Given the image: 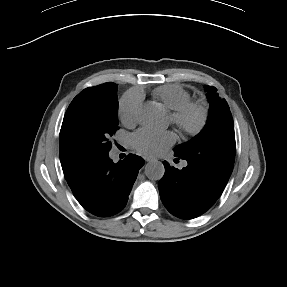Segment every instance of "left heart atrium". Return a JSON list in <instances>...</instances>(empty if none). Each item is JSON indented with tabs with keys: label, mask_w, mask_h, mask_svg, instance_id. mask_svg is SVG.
<instances>
[{
	"label": "left heart atrium",
	"mask_w": 287,
	"mask_h": 287,
	"mask_svg": "<svg viewBox=\"0 0 287 287\" xmlns=\"http://www.w3.org/2000/svg\"><path fill=\"white\" fill-rule=\"evenodd\" d=\"M175 139L171 132L141 130L134 135L132 144L138 152L153 157L163 153Z\"/></svg>",
	"instance_id": "obj_1"
}]
</instances>
